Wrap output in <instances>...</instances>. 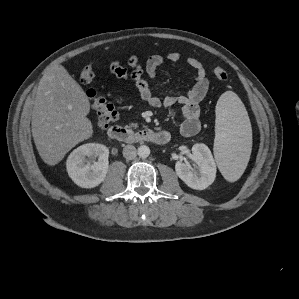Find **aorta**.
Listing matches in <instances>:
<instances>
[{"instance_id":"762f6f07","label":"aorta","mask_w":299,"mask_h":299,"mask_svg":"<svg viewBox=\"0 0 299 299\" xmlns=\"http://www.w3.org/2000/svg\"><path fill=\"white\" fill-rule=\"evenodd\" d=\"M137 154L140 158H147L150 155V148L146 145L138 147Z\"/></svg>"}]
</instances>
